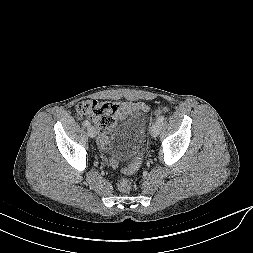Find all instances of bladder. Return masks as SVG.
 Returning <instances> with one entry per match:
<instances>
[{"label":"bladder","instance_id":"31cf9c89","mask_svg":"<svg viewBox=\"0 0 253 253\" xmlns=\"http://www.w3.org/2000/svg\"><path fill=\"white\" fill-rule=\"evenodd\" d=\"M147 122L138 112H123L119 121L109 131L108 140L121 145L123 159L129 158L141 145Z\"/></svg>","mask_w":253,"mask_h":253}]
</instances>
